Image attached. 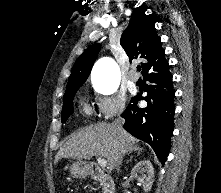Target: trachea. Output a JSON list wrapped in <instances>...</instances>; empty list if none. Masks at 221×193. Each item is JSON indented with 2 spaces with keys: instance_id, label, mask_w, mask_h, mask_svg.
<instances>
[{
  "instance_id": "obj_1",
  "label": "trachea",
  "mask_w": 221,
  "mask_h": 193,
  "mask_svg": "<svg viewBox=\"0 0 221 193\" xmlns=\"http://www.w3.org/2000/svg\"><path fill=\"white\" fill-rule=\"evenodd\" d=\"M137 70L140 71L141 70V66H137Z\"/></svg>"
}]
</instances>
